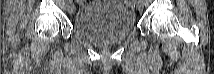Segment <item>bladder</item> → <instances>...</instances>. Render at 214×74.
<instances>
[{
    "label": "bladder",
    "instance_id": "31cf9c89",
    "mask_svg": "<svg viewBox=\"0 0 214 74\" xmlns=\"http://www.w3.org/2000/svg\"><path fill=\"white\" fill-rule=\"evenodd\" d=\"M135 27L131 8L120 1H95L85 5L75 15L74 30L91 41H119Z\"/></svg>",
    "mask_w": 214,
    "mask_h": 74
}]
</instances>
